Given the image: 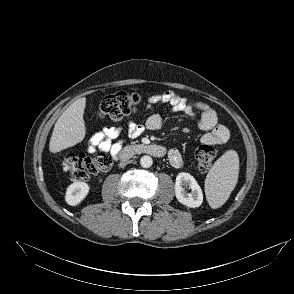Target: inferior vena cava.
<instances>
[{
  "mask_svg": "<svg viewBox=\"0 0 294 294\" xmlns=\"http://www.w3.org/2000/svg\"><path fill=\"white\" fill-rule=\"evenodd\" d=\"M125 164H127V161L125 159H122L120 166L123 167Z\"/></svg>",
  "mask_w": 294,
  "mask_h": 294,
  "instance_id": "1",
  "label": "inferior vena cava"
}]
</instances>
